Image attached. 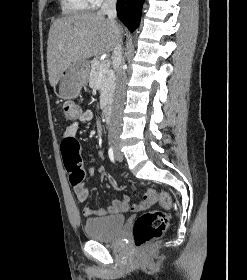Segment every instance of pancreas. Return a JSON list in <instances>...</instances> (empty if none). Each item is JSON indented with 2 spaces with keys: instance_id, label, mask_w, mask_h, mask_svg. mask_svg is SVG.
Here are the masks:
<instances>
[{
  "instance_id": "pancreas-1",
  "label": "pancreas",
  "mask_w": 247,
  "mask_h": 280,
  "mask_svg": "<svg viewBox=\"0 0 247 280\" xmlns=\"http://www.w3.org/2000/svg\"><path fill=\"white\" fill-rule=\"evenodd\" d=\"M100 64L101 62L98 61V59H93L91 61L89 85L92 88L100 89V106L101 109H103L112 99L115 87V77L112 69L110 68L105 71H101Z\"/></svg>"
}]
</instances>
